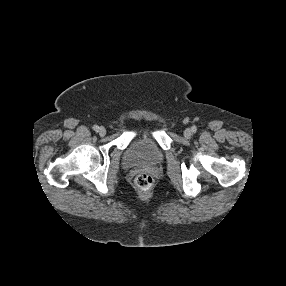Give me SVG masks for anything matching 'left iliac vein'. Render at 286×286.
<instances>
[{
	"label": "left iliac vein",
	"instance_id": "4c4485c4",
	"mask_svg": "<svg viewBox=\"0 0 286 286\" xmlns=\"http://www.w3.org/2000/svg\"><path fill=\"white\" fill-rule=\"evenodd\" d=\"M184 136L190 138L192 136V130L190 128L185 129Z\"/></svg>",
	"mask_w": 286,
	"mask_h": 286
}]
</instances>
